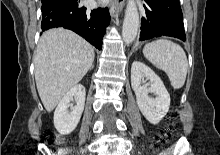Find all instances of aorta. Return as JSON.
Returning <instances> with one entry per match:
<instances>
[{
    "mask_svg": "<svg viewBox=\"0 0 220 155\" xmlns=\"http://www.w3.org/2000/svg\"><path fill=\"white\" fill-rule=\"evenodd\" d=\"M138 28L139 13L136 1L128 0L122 28V39L126 44H130L135 40Z\"/></svg>",
    "mask_w": 220,
    "mask_h": 155,
    "instance_id": "obj_1",
    "label": "aorta"
}]
</instances>
